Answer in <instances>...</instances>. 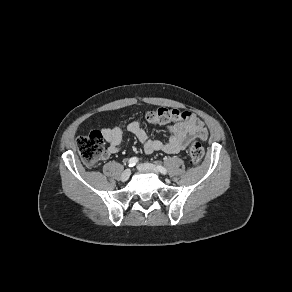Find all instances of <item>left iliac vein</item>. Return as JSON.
<instances>
[{
	"label": "left iliac vein",
	"instance_id": "4c4485c4",
	"mask_svg": "<svg viewBox=\"0 0 292 292\" xmlns=\"http://www.w3.org/2000/svg\"><path fill=\"white\" fill-rule=\"evenodd\" d=\"M137 168L140 171H152V172L158 174V169L153 164H150V163L139 164L137 166Z\"/></svg>",
	"mask_w": 292,
	"mask_h": 292
}]
</instances>
